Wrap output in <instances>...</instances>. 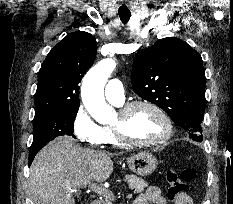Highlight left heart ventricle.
<instances>
[{
  "label": "left heart ventricle",
  "mask_w": 233,
  "mask_h": 204,
  "mask_svg": "<svg viewBox=\"0 0 233 204\" xmlns=\"http://www.w3.org/2000/svg\"><path fill=\"white\" fill-rule=\"evenodd\" d=\"M119 122L117 115L114 124ZM163 120L147 107L135 108L124 123L126 135L136 141H151L160 138L165 133Z\"/></svg>",
  "instance_id": "b2bd125f"
}]
</instances>
